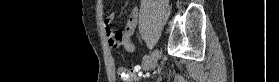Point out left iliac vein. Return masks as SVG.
<instances>
[{
	"label": "left iliac vein",
	"instance_id": "1",
	"mask_svg": "<svg viewBox=\"0 0 279 82\" xmlns=\"http://www.w3.org/2000/svg\"><path fill=\"white\" fill-rule=\"evenodd\" d=\"M158 59H159V50L154 49L151 52L148 60L143 62L142 69L146 71V70H149V69L153 68L156 65Z\"/></svg>",
	"mask_w": 279,
	"mask_h": 82
}]
</instances>
